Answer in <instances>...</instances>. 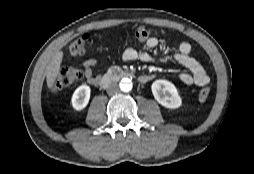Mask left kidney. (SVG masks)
Wrapping results in <instances>:
<instances>
[{
	"label": "left kidney",
	"mask_w": 254,
	"mask_h": 174,
	"mask_svg": "<svg viewBox=\"0 0 254 174\" xmlns=\"http://www.w3.org/2000/svg\"><path fill=\"white\" fill-rule=\"evenodd\" d=\"M151 90L156 101L166 108L176 109L182 105V99L177 88L167 80L154 81Z\"/></svg>",
	"instance_id": "1"
}]
</instances>
